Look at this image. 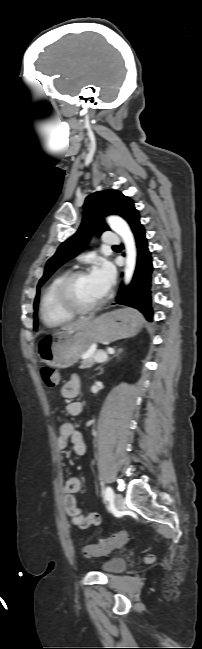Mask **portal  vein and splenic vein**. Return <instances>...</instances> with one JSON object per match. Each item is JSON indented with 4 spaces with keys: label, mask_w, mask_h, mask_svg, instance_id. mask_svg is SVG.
Segmentation results:
<instances>
[{
    "label": "portal vein and splenic vein",
    "mask_w": 202,
    "mask_h": 649,
    "mask_svg": "<svg viewBox=\"0 0 202 649\" xmlns=\"http://www.w3.org/2000/svg\"><path fill=\"white\" fill-rule=\"evenodd\" d=\"M109 353L113 354L114 350H109ZM83 359L88 358V355H83ZM95 362L102 363L107 360V354L106 353H98L94 356Z\"/></svg>",
    "instance_id": "obj_1"
}]
</instances>
